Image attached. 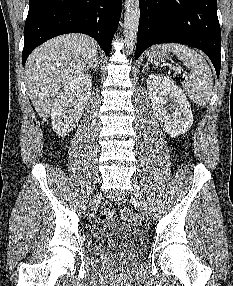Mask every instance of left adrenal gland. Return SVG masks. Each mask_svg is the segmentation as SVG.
I'll list each match as a JSON object with an SVG mask.
<instances>
[{"instance_id":"1","label":"left adrenal gland","mask_w":233,"mask_h":286,"mask_svg":"<svg viewBox=\"0 0 233 286\" xmlns=\"http://www.w3.org/2000/svg\"><path fill=\"white\" fill-rule=\"evenodd\" d=\"M145 69H150V68H149L148 63H146V64L144 65V67H143V70H142V71L144 72V71H145Z\"/></svg>"}]
</instances>
